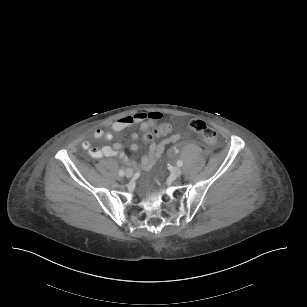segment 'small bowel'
<instances>
[{
	"mask_svg": "<svg viewBox=\"0 0 307 307\" xmlns=\"http://www.w3.org/2000/svg\"><path fill=\"white\" fill-rule=\"evenodd\" d=\"M162 119V114L158 111H150V112H136L127 116H123L116 120L112 124V131L113 132H120L125 130L126 128L134 125L139 124L140 129L143 133V140H145L144 134L145 131L153 125L158 126L160 123L159 121ZM93 136L96 139H103L105 141H110L113 138V135L111 132H106L102 129H95L93 132ZM138 138V135L136 133L131 134V139L136 140ZM148 143V142H147ZM82 148L88 151L89 155L93 158L100 159L103 157H120L125 160L127 164L135 165L134 162L128 160L125 157V154L122 151L123 146L120 143H116L112 146H104L102 148H92L91 143L88 140H85L82 142ZM130 149L132 151L138 150V145L136 143H133L130 146ZM165 147L162 146L160 143L156 145L150 144L149 151L146 155H144L140 161V168L147 170L153 167L158 158L163 153Z\"/></svg>",
	"mask_w": 307,
	"mask_h": 307,
	"instance_id": "small-bowel-1",
	"label": "small bowel"
}]
</instances>
